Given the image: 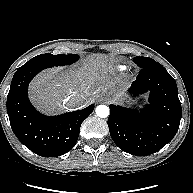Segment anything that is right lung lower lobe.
<instances>
[{
    "label": "right lung lower lobe",
    "instance_id": "right-lung-lower-lobe-1",
    "mask_svg": "<svg viewBox=\"0 0 193 193\" xmlns=\"http://www.w3.org/2000/svg\"><path fill=\"white\" fill-rule=\"evenodd\" d=\"M44 66H21L14 74L7 96V113L19 141L43 157L69 152L77 142L80 126L94 105L59 116H45L29 102L28 84Z\"/></svg>",
    "mask_w": 193,
    "mask_h": 193
}]
</instances>
